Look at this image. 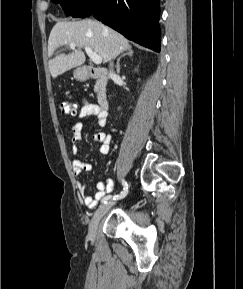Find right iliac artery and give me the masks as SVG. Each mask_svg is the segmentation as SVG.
Here are the masks:
<instances>
[{
	"instance_id": "1",
	"label": "right iliac artery",
	"mask_w": 243,
	"mask_h": 289,
	"mask_svg": "<svg viewBox=\"0 0 243 289\" xmlns=\"http://www.w3.org/2000/svg\"><path fill=\"white\" fill-rule=\"evenodd\" d=\"M122 185H123V190H122V192H121L120 194L114 195V196H112V195H107V196L102 200V202H103V203H107V202H108L109 200H111V199L117 200V199H122V198H124V197L127 195V193H128V184H127V182H126L124 179H122Z\"/></svg>"
}]
</instances>
